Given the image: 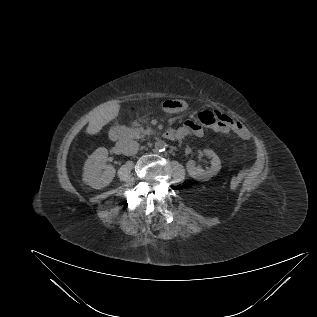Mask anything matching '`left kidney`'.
Returning a JSON list of instances; mask_svg holds the SVG:
<instances>
[{
	"label": "left kidney",
	"mask_w": 317,
	"mask_h": 317,
	"mask_svg": "<svg viewBox=\"0 0 317 317\" xmlns=\"http://www.w3.org/2000/svg\"><path fill=\"white\" fill-rule=\"evenodd\" d=\"M204 153L211 157V168L208 170H204L202 168L196 167L195 162L193 160H189L186 164V169L188 174L196 180H208L211 177L217 175V173L221 169V162L219 157L215 154L214 151L210 149H205Z\"/></svg>",
	"instance_id": "obj_1"
}]
</instances>
